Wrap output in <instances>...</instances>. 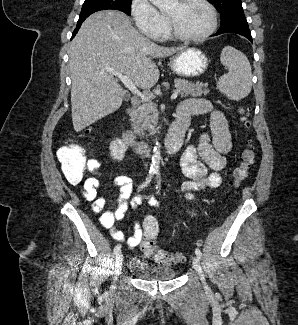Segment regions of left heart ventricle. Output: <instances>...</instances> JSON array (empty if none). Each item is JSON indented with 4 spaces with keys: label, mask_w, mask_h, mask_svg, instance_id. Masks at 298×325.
I'll list each match as a JSON object with an SVG mask.
<instances>
[{
    "label": "left heart ventricle",
    "mask_w": 298,
    "mask_h": 325,
    "mask_svg": "<svg viewBox=\"0 0 298 325\" xmlns=\"http://www.w3.org/2000/svg\"><path fill=\"white\" fill-rule=\"evenodd\" d=\"M164 10L170 13L177 30L185 36L193 37L204 32L209 24L207 11L193 0L176 2L162 1Z\"/></svg>",
    "instance_id": "left-heart-ventricle-1"
}]
</instances>
